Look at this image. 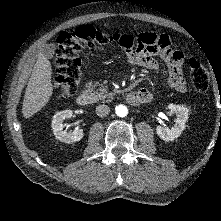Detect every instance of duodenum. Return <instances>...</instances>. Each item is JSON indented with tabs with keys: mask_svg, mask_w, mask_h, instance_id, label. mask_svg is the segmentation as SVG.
Returning a JSON list of instances; mask_svg holds the SVG:
<instances>
[{
	"mask_svg": "<svg viewBox=\"0 0 221 221\" xmlns=\"http://www.w3.org/2000/svg\"><path fill=\"white\" fill-rule=\"evenodd\" d=\"M126 99L132 105H140L147 101V99L141 93L137 91L129 92L126 96ZM76 102L80 106H87L90 103V97L86 92H81L77 96Z\"/></svg>",
	"mask_w": 221,
	"mask_h": 221,
	"instance_id": "obj_1",
	"label": "duodenum"
}]
</instances>
